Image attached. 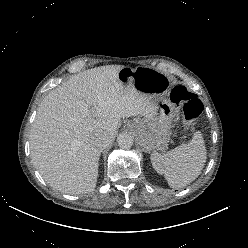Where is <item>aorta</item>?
<instances>
[{
	"label": "aorta",
	"instance_id": "aorta-1",
	"mask_svg": "<svg viewBox=\"0 0 248 248\" xmlns=\"http://www.w3.org/2000/svg\"><path fill=\"white\" fill-rule=\"evenodd\" d=\"M133 137L129 133H121L117 137V144L122 149H129L133 146Z\"/></svg>",
	"mask_w": 248,
	"mask_h": 248
}]
</instances>
